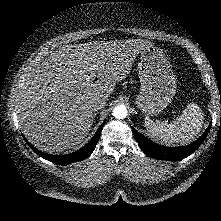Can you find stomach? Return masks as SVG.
I'll list each match as a JSON object with an SVG mask.
<instances>
[{
  "label": "stomach",
  "instance_id": "0dacf381",
  "mask_svg": "<svg viewBox=\"0 0 221 221\" xmlns=\"http://www.w3.org/2000/svg\"><path fill=\"white\" fill-rule=\"evenodd\" d=\"M138 68L141 86L135 103L147 115L159 114L176 93L172 66L167 57L152 45L141 52Z\"/></svg>",
  "mask_w": 221,
  "mask_h": 221
}]
</instances>
